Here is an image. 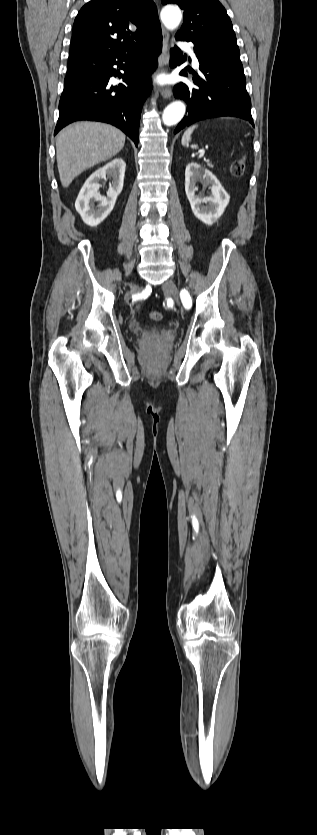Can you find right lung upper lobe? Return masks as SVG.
<instances>
[{"mask_svg": "<svg viewBox=\"0 0 317 835\" xmlns=\"http://www.w3.org/2000/svg\"><path fill=\"white\" fill-rule=\"evenodd\" d=\"M160 28L152 0H91L75 18L70 54H113L152 37Z\"/></svg>", "mask_w": 317, "mask_h": 835, "instance_id": "right-lung-upper-lobe-1", "label": "right lung upper lobe"}]
</instances>
